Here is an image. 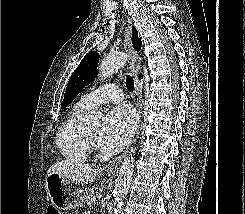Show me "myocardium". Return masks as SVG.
Returning a JSON list of instances; mask_svg holds the SVG:
<instances>
[{
	"mask_svg": "<svg viewBox=\"0 0 245 214\" xmlns=\"http://www.w3.org/2000/svg\"><path fill=\"white\" fill-rule=\"evenodd\" d=\"M84 140H85V143L88 147V149H91V148H95L96 147V142H95V139L92 138L89 133L87 132V130L85 129L84 131Z\"/></svg>",
	"mask_w": 245,
	"mask_h": 214,
	"instance_id": "myocardium-1",
	"label": "myocardium"
}]
</instances>
